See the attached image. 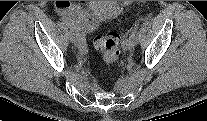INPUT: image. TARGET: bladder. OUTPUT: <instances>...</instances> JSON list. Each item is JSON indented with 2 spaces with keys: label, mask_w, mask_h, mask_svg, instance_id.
I'll return each instance as SVG.
<instances>
[{
  "label": "bladder",
  "mask_w": 207,
  "mask_h": 121,
  "mask_svg": "<svg viewBox=\"0 0 207 121\" xmlns=\"http://www.w3.org/2000/svg\"><path fill=\"white\" fill-rule=\"evenodd\" d=\"M90 11L96 21H105L115 18L121 11L117 1H94L90 4Z\"/></svg>",
  "instance_id": "bladder-1"
}]
</instances>
